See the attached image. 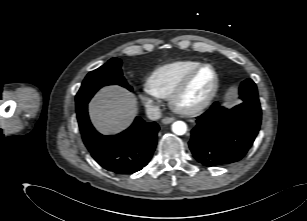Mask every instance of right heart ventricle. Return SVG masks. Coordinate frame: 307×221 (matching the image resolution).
Here are the masks:
<instances>
[{
  "label": "right heart ventricle",
  "mask_w": 307,
  "mask_h": 221,
  "mask_svg": "<svg viewBox=\"0 0 307 221\" xmlns=\"http://www.w3.org/2000/svg\"><path fill=\"white\" fill-rule=\"evenodd\" d=\"M202 62L194 60L176 61L153 70L146 79L148 94L159 99H168L180 83Z\"/></svg>",
  "instance_id": "1"
}]
</instances>
